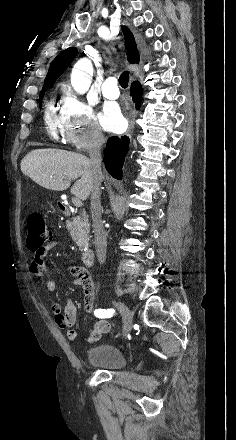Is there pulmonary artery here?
<instances>
[{
	"instance_id": "1",
	"label": "pulmonary artery",
	"mask_w": 236,
	"mask_h": 440,
	"mask_svg": "<svg viewBox=\"0 0 236 440\" xmlns=\"http://www.w3.org/2000/svg\"><path fill=\"white\" fill-rule=\"evenodd\" d=\"M102 94L108 99H117L119 97V89L115 77L105 79L102 85Z\"/></svg>"
}]
</instances>
